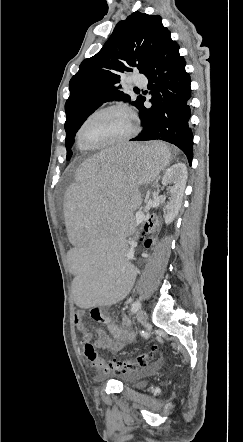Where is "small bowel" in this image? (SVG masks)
<instances>
[{"label":"small bowel","mask_w":243,"mask_h":442,"mask_svg":"<svg viewBox=\"0 0 243 442\" xmlns=\"http://www.w3.org/2000/svg\"><path fill=\"white\" fill-rule=\"evenodd\" d=\"M91 317L98 322L104 323L111 335L110 337L105 330L96 328L94 345L97 348L111 352H118L125 346V344L134 339V332L129 329L131 326L129 318L123 317L121 321L122 327H120L114 320L101 314L99 307H93L91 309ZM74 323L81 334L82 342L87 343L92 341L94 335L88 328L83 311H78L74 315Z\"/></svg>","instance_id":"c3829d8e"}]
</instances>
